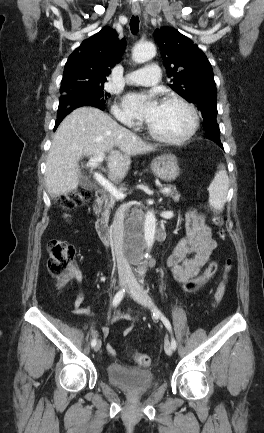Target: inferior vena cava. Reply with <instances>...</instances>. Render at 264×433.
<instances>
[{"instance_id":"602c4592","label":"inferior vena cava","mask_w":264,"mask_h":433,"mask_svg":"<svg viewBox=\"0 0 264 433\" xmlns=\"http://www.w3.org/2000/svg\"><path fill=\"white\" fill-rule=\"evenodd\" d=\"M125 207L120 208L119 211H114V223H113V250L117 261L119 278L130 279L133 277V273L129 262L126 260V252L123 250V243L125 232L124 219H125ZM132 252H142V251H132Z\"/></svg>"}]
</instances>
